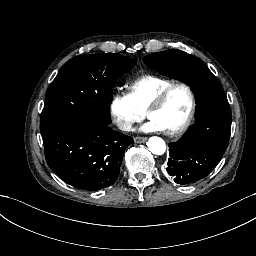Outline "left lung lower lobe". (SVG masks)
<instances>
[{"instance_id": "0a47b994", "label": "left lung lower lobe", "mask_w": 256, "mask_h": 256, "mask_svg": "<svg viewBox=\"0 0 256 256\" xmlns=\"http://www.w3.org/2000/svg\"><path fill=\"white\" fill-rule=\"evenodd\" d=\"M169 175L174 177V181L179 184H190L192 182H196L206 176H191V175H178L174 173H168Z\"/></svg>"}]
</instances>
